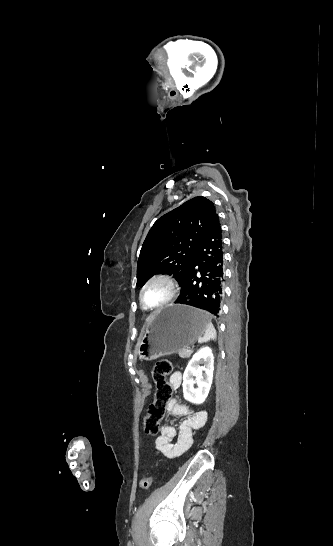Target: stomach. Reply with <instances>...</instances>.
I'll return each instance as SVG.
<instances>
[{
    "mask_svg": "<svg viewBox=\"0 0 333 546\" xmlns=\"http://www.w3.org/2000/svg\"><path fill=\"white\" fill-rule=\"evenodd\" d=\"M208 321V313L187 305L159 310L137 343L136 353L150 361L189 348L205 333Z\"/></svg>",
    "mask_w": 333,
    "mask_h": 546,
    "instance_id": "1",
    "label": "stomach"
}]
</instances>
